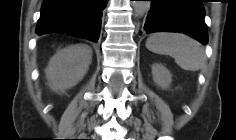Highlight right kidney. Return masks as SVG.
Listing matches in <instances>:
<instances>
[{"instance_id":"ca27d5eb","label":"right kidney","mask_w":236,"mask_h":140,"mask_svg":"<svg viewBox=\"0 0 236 140\" xmlns=\"http://www.w3.org/2000/svg\"><path fill=\"white\" fill-rule=\"evenodd\" d=\"M91 59V48L83 44L71 45L58 51L45 70L48 86L56 92L74 87L87 73Z\"/></svg>"}]
</instances>
